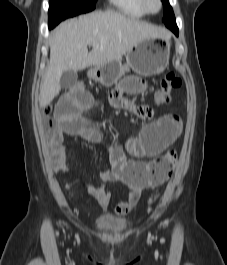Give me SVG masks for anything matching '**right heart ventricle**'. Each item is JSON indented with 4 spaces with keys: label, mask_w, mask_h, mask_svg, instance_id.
Instances as JSON below:
<instances>
[{
    "label": "right heart ventricle",
    "mask_w": 227,
    "mask_h": 265,
    "mask_svg": "<svg viewBox=\"0 0 227 265\" xmlns=\"http://www.w3.org/2000/svg\"><path fill=\"white\" fill-rule=\"evenodd\" d=\"M109 2L114 8L127 16L140 18L146 15L140 0H109Z\"/></svg>",
    "instance_id": "obj_1"
}]
</instances>
